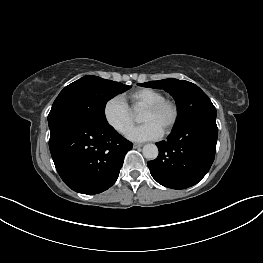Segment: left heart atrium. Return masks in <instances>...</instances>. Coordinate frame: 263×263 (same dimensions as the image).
I'll list each match as a JSON object with an SVG mask.
<instances>
[{
  "label": "left heart atrium",
  "mask_w": 263,
  "mask_h": 263,
  "mask_svg": "<svg viewBox=\"0 0 263 263\" xmlns=\"http://www.w3.org/2000/svg\"><path fill=\"white\" fill-rule=\"evenodd\" d=\"M163 135V129L155 122L148 121L134 126L127 131V138L132 141L143 142L159 139Z\"/></svg>",
  "instance_id": "1"
}]
</instances>
